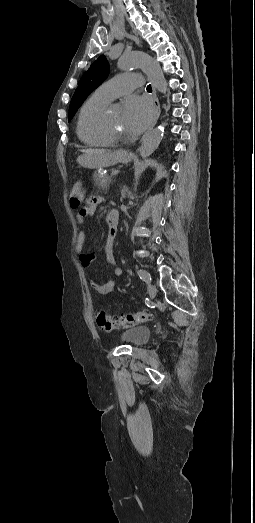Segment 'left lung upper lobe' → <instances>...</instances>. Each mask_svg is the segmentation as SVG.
<instances>
[{"label": "left lung upper lobe", "instance_id": "left-lung-upper-lobe-1", "mask_svg": "<svg viewBox=\"0 0 255 523\" xmlns=\"http://www.w3.org/2000/svg\"><path fill=\"white\" fill-rule=\"evenodd\" d=\"M109 74V64L105 56H100L82 76L78 87L71 99L69 107L68 121H70L78 108L82 105L87 96L103 81Z\"/></svg>", "mask_w": 255, "mask_h": 523}]
</instances>
